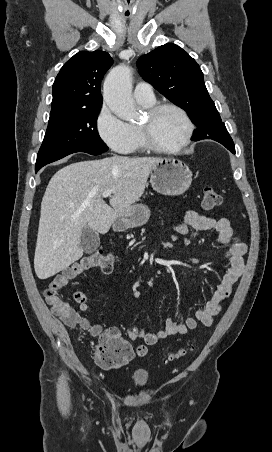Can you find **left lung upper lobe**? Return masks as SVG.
I'll list each match as a JSON object with an SVG mask.
<instances>
[{"label": "left lung upper lobe", "instance_id": "5c2ea615", "mask_svg": "<svg viewBox=\"0 0 272 452\" xmlns=\"http://www.w3.org/2000/svg\"><path fill=\"white\" fill-rule=\"evenodd\" d=\"M137 65L144 80L188 112L198 127L194 140L230 137L208 94L200 66L182 48L171 43L162 45L141 56Z\"/></svg>", "mask_w": 272, "mask_h": 452}]
</instances>
